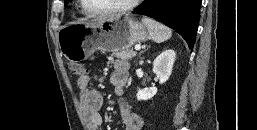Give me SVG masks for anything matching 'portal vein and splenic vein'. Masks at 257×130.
<instances>
[{
	"label": "portal vein and splenic vein",
	"instance_id": "18ae733b",
	"mask_svg": "<svg viewBox=\"0 0 257 130\" xmlns=\"http://www.w3.org/2000/svg\"><path fill=\"white\" fill-rule=\"evenodd\" d=\"M140 49H141L140 46H136V47H135V50H137V51L140 50Z\"/></svg>",
	"mask_w": 257,
	"mask_h": 130
}]
</instances>
